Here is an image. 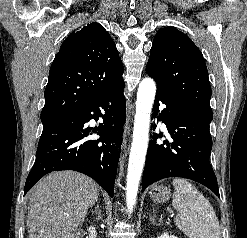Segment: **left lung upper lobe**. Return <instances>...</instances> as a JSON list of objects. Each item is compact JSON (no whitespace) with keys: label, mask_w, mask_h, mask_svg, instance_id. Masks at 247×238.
Returning a JSON list of instances; mask_svg holds the SVG:
<instances>
[{"label":"left lung upper lobe","mask_w":247,"mask_h":238,"mask_svg":"<svg viewBox=\"0 0 247 238\" xmlns=\"http://www.w3.org/2000/svg\"><path fill=\"white\" fill-rule=\"evenodd\" d=\"M146 72L167 98L212 120L207 67L187 35L173 27L160 29L153 40Z\"/></svg>","instance_id":"5c2ea615"}]
</instances>
